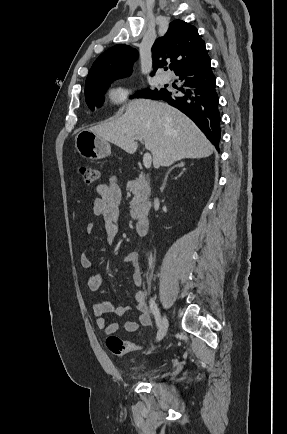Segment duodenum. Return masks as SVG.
I'll use <instances>...</instances> for the list:
<instances>
[{
	"label": "duodenum",
	"mask_w": 287,
	"mask_h": 434,
	"mask_svg": "<svg viewBox=\"0 0 287 434\" xmlns=\"http://www.w3.org/2000/svg\"><path fill=\"white\" fill-rule=\"evenodd\" d=\"M150 221L147 217H141L136 224L137 235L140 237L146 236L148 233Z\"/></svg>",
	"instance_id": "1"
}]
</instances>
